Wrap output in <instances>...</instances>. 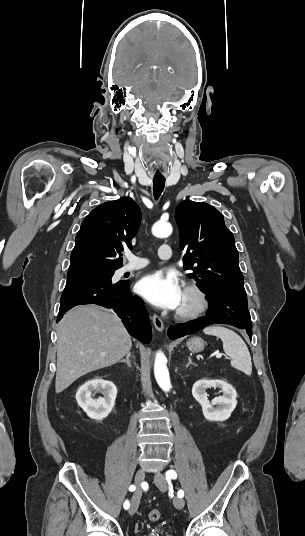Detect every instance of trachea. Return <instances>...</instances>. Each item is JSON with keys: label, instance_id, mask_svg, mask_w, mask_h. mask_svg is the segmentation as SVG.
I'll list each match as a JSON object with an SVG mask.
<instances>
[{"label": "trachea", "instance_id": "3493384b", "mask_svg": "<svg viewBox=\"0 0 305 536\" xmlns=\"http://www.w3.org/2000/svg\"><path fill=\"white\" fill-rule=\"evenodd\" d=\"M166 179L164 177L153 178V194L155 199H158L164 190Z\"/></svg>", "mask_w": 305, "mask_h": 536}]
</instances>
